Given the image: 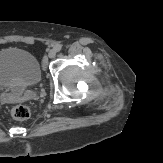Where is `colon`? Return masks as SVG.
Segmentation results:
<instances>
[{"instance_id": "obj_1", "label": "colon", "mask_w": 163, "mask_h": 163, "mask_svg": "<svg viewBox=\"0 0 163 163\" xmlns=\"http://www.w3.org/2000/svg\"><path fill=\"white\" fill-rule=\"evenodd\" d=\"M11 113L12 116L17 120H26L30 116V109L26 105L19 104V105H15L12 108Z\"/></svg>"}]
</instances>
